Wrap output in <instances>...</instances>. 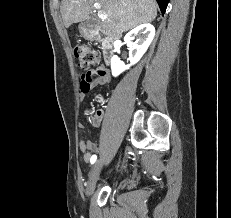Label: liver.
<instances>
[{
  "label": "liver",
  "instance_id": "6515ba94",
  "mask_svg": "<svg viewBox=\"0 0 231 218\" xmlns=\"http://www.w3.org/2000/svg\"><path fill=\"white\" fill-rule=\"evenodd\" d=\"M96 2L107 15L100 24L101 31L115 38L140 24L152 22L157 16L155 0H63L61 15L65 27L88 20Z\"/></svg>",
  "mask_w": 231,
  "mask_h": 218
}]
</instances>
